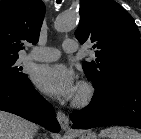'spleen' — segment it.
Listing matches in <instances>:
<instances>
[{"mask_svg": "<svg viewBox=\"0 0 141 139\" xmlns=\"http://www.w3.org/2000/svg\"><path fill=\"white\" fill-rule=\"evenodd\" d=\"M100 138L107 139H141V134L125 127H110L102 130Z\"/></svg>", "mask_w": 141, "mask_h": 139, "instance_id": "3e777b00", "label": "spleen"}]
</instances>
